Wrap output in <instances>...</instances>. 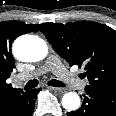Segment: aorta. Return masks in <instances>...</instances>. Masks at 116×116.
Here are the masks:
<instances>
[{
  "label": "aorta",
  "mask_w": 116,
  "mask_h": 116,
  "mask_svg": "<svg viewBox=\"0 0 116 116\" xmlns=\"http://www.w3.org/2000/svg\"><path fill=\"white\" fill-rule=\"evenodd\" d=\"M14 56L23 62H37L48 54L46 42L33 35H23L13 43ZM62 106L68 111H75L80 107V97L75 92L64 94Z\"/></svg>",
  "instance_id": "obj_1"
}]
</instances>
